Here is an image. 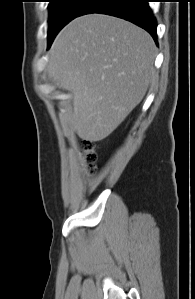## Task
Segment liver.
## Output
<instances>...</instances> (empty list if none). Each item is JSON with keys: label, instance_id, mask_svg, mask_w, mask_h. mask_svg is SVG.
I'll list each match as a JSON object with an SVG mask.
<instances>
[{"label": "liver", "instance_id": "1", "mask_svg": "<svg viewBox=\"0 0 195 299\" xmlns=\"http://www.w3.org/2000/svg\"><path fill=\"white\" fill-rule=\"evenodd\" d=\"M155 51L146 31L108 15L78 17L59 32L48 71L71 95L66 118L80 138L103 140L141 102L155 77Z\"/></svg>", "mask_w": 195, "mask_h": 299}]
</instances>
